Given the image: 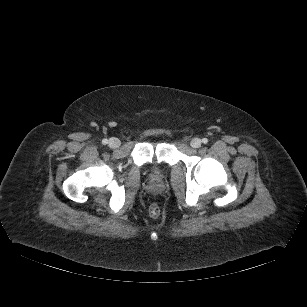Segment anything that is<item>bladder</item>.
<instances>
[{"instance_id":"1","label":"bladder","mask_w":307,"mask_h":307,"mask_svg":"<svg viewBox=\"0 0 307 307\" xmlns=\"http://www.w3.org/2000/svg\"><path fill=\"white\" fill-rule=\"evenodd\" d=\"M151 173L156 178L160 177V175H161V172L158 169H156V168H152L151 169Z\"/></svg>"}]
</instances>
